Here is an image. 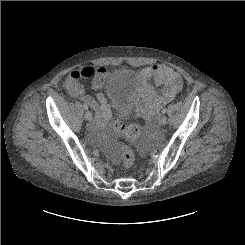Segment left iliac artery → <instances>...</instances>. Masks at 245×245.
<instances>
[{
	"instance_id": "left-iliac-artery-1",
	"label": "left iliac artery",
	"mask_w": 245,
	"mask_h": 245,
	"mask_svg": "<svg viewBox=\"0 0 245 245\" xmlns=\"http://www.w3.org/2000/svg\"><path fill=\"white\" fill-rule=\"evenodd\" d=\"M166 112H167V109L164 108V109L162 110V113L165 114Z\"/></svg>"
}]
</instances>
